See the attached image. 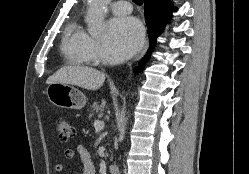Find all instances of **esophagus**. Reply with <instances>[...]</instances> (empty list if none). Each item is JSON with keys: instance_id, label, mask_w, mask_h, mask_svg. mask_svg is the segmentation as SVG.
Here are the masks:
<instances>
[{"instance_id": "esophagus-1", "label": "esophagus", "mask_w": 249, "mask_h": 174, "mask_svg": "<svg viewBox=\"0 0 249 174\" xmlns=\"http://www.w3.org/2000/svg\"><path fill=\"white\" fill-rule=\"evenodd\" d=\"M148 47H149V42H148V39H146V41H145V44H144V47H143V49H142V51L135 57V59H139V58H141L145 53H146V51H147V49H148Z\"/></svg>"}]
</instances>
